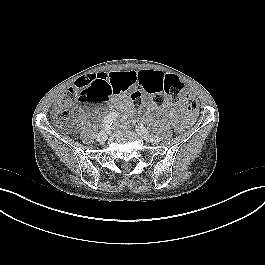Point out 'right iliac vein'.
<instances>
[{
	"label": "right iliac vein",
	"instance_id": "1",
	"mask_svg": "<svg viewBox=\"0 0 265 265\" xmlns=\"http://www.w3.org/2000/svg\"><path fill=\"white\" fill-rule=\"evenodd\" d=\"M108 138V135L105 131H101L98 135H97V140L99 142H105Z\"/></svg>",
	"mask_w": 265,
	"mask_h": 265
}]
</instances>
